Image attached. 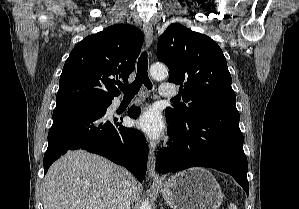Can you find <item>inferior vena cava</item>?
I'll return each instance as SVG.
<instances>
[{"mask_svg": "<svg viewBox=\"0 0 299 209\" xmlns=\"http://www.w3.org/2000/svg\"><path fill=\"white\" fill-rule=\"evenodd\" d=\"M124 174L123 189L117 204V209H130L132 203L131 181L133 177L127 170H124Z\"/></svg>", "mask_w": 299, "mask_h": 209, "instance_id": "obj_1", "label": "inferior vena cava"}]
</instances>
